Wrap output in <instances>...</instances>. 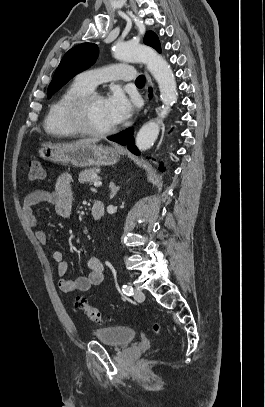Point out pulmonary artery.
I'll use <instances>...</instances> for the list:
<instances>
[{"mask_svg": "<svg viewBox=\"0 0 265 407\" xmlns=\"http://www.w3.org/2000/svg\"><path fill=\"white\" fill-rule=\"evenodd\" d=\"M134 77V68L130 65H109L82 72L77 75L76 80L87 89L93 90L98 84L106 81H131Z\"/></svg>", "mask_w": 265, "mask_h": 407, "instance_id": "1", "label": "pulmonary artery"}]
</instances>
